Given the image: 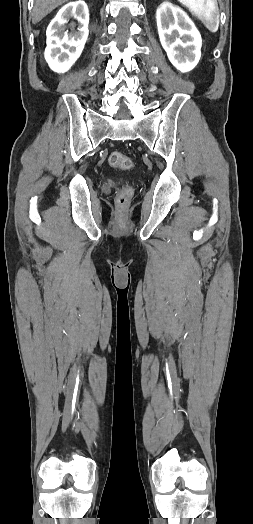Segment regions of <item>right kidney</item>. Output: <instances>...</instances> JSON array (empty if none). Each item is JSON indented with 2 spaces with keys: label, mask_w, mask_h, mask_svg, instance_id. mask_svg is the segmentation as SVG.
I'll list each match as a JSON object with an SVG mask.
<instances>
[{
  "label": "right kidney",
  "mask_w": 253,
  "mask_h": 524,
  "mask_svg": "<svg viewBox=\"0 0 253 524\" xmlns=\"http://www.w3.org/2000/svg\"><path fill=\"white\" fill-rule=\"evenodd\" d=\"M73 18L78 22H71V32L65 31L69 20ZM89 11L82 0L70 2L57 13L49 24L45 59L49 67L57 73L68 71L80 57L88 38Z\"/></svg>",
  "instance_id": "ca27d5eb"
}]
</instances>
